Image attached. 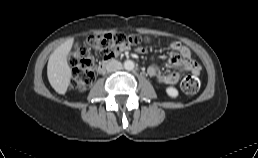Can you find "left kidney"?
<instances>
[{"mask_svg": "<svg viewBox=\"0 0 258 158\" xmlns=\"http://www.w3.org/2000/svg\"><path fill=\"white\" fill-rule=\"evenodd\" d=\"M166 93L168 96H170L172 98H176L178 96V90L174 87H167Z\"/></svg>", "mask_w": 258, "mask_h": 158, "instance_id": "obj_1", "label": "left kidney"}]
</instances>
